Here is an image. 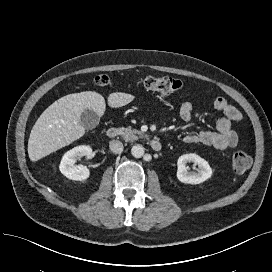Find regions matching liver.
<instances>
[{
  "instance_id": "liver-1",
  "label": "liver",
  "mask_w": 272,
  "mask_h": 272,
  "mask_svg": "<svg viewBox=\"0 0 272 272\" xmlns=\"http://www.w3.org/2000/svg\"><path fill=\"white\" fill-rule=\"evenodd\" d=\"M134 96L116 92L108 96V105L119 108L134 100ZM91 109L101 117L106 109L104 97L94 91L73 93L51 104L37 119L28 140V155L35 162L73 143L85 134L80 116Z\"/></svg>"
}]
</instances>
